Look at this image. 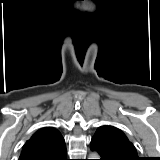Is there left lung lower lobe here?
I'll use <instances>...</instances> for the list:
<instances>
[{
	"instance_id": "1",
	"label": "left lung lower lobe",
	"mask_w": 160,
	"mask_h": 160,
	"mask_svg": "<svg viewBox=\"0 0 160 160\" xmlns=\"http://www.w3.org/2000/svg\"><path fill=\"white\" fill-rule=\"evenodd\" d=\"M91 150L96 151L99 154V160H120L109 153V151L104 147L103 142L96 136H93L91 139Z\"/></svg>"
}]
</instances>
